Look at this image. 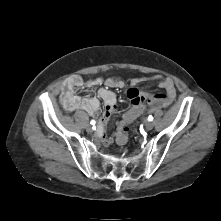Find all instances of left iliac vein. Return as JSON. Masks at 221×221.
<instances>
[{"mask_svg": "<svg viewBox=\"0 0 221 221\" xmlns=\"http://www.w3.org/2000/svg\"><path fill=\"white\" fill-rule=\"evenodd\" d=\"M145 129H146V131L152 130L153 129V123L147 122L146 125H145Z\"/></svg>", "mask_w": 221, "mask_h": 221, "instance_id": "4c4485c4", "label": "left iliac vein"}]
</instances>
